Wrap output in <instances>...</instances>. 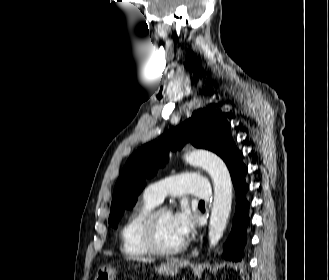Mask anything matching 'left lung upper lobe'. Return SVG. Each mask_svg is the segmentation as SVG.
<instances>
[{
    "label": "left lung upper lobe",
    "mask_w": 329,
    "mask_h": 280,
    "mask_svg": "<svg viewBox=\"0 0 329 280\" xmlns=\"http://www.w3.org/2000/svg\"><path fill=\"white\" fill-rule=\"evenodd\" d=\"M215 152L226 163L229 171L242 160L230 136V124L218 112L198 109L179 127L143 145L126 162L114 188L109 224L117 228L125 209H131L145 186L144 179L152 177L168 157L169 149L181 148L186 142Z\"/></svg>",
    "instance_id": "left-lung-upper-lobe-1"
}]
</instances>
